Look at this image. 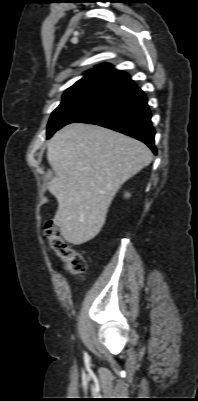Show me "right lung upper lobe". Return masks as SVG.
I'll return each mask as SVG.
<instances>
[{"label": "right lung upper lobe", "instance_id": "cb5924a9", "mask_svg": "<svg viewBox=\"0 0 198 401\" xmlns=\"http://www.w3.org/2000/svg\"><path fill=\"white\" fill-rule=\"evenodd\" d=\"M128 78L129 75L127 73L115 70L110 64H101L87 71L84 77L68 88L64 94L85 89L111 91Z\"/></svg>", "mask_w": 198, "mask_h": 401}]
</instances>
